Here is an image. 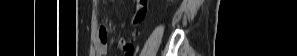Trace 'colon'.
Instances as JSON below:
<instances>
[{
	"label": "colon",
	"mask_w": 297,
	"mask_h": 56,
	"mask_svg": "<svg viewBox=\"0 0 297 56\" xmlns=\"http://www.w3.org/2000/svg\"><path fill=\"white\" fill-rule=\"evenodd\" d=\"M146 11H147V0H138L136 21L142 20L145 17ZM100 37L102 39H106L105 29L101 30Z\"/></svg>",
	"instance_id": "obj_1"
}]
</instances>
